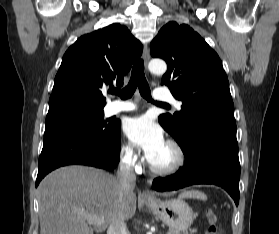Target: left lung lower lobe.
I'll use <instances>...</instances> for the list:
<instances>
[{"mask_svg":"<svg viewBox=\"0 0 279 234\" xmlns=\"http://www.w3.org/2000/svg\"><path fill=\"white\" fill-rule=\"evenodd\" d=\"M185 166L176 174L156 178L153 188L172 191L193 184H215L224 188L239 203L240 163L236 125L210 122L199 125L190 137Z\"/></svg>","mask_w":279,"mask_h":234,"instance_id":"0a47b994","label":"left lung lower lobe"}]
</instances>
